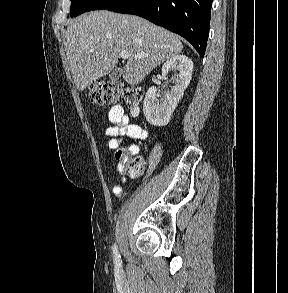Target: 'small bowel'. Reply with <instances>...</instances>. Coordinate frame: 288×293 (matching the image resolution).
<instances>
[{
  "mask_svg": "<svg viewBox=\"0 0 288 293\" xmlns=\"http://www.w3.org/2000/svg\"><path fill=\"white\" fill-rule=\"evenodd\" d=\"M109 121L112 126L105 130V136L108 138L107 147L110 150H114L118 147L119 143L128 139L144 140L147 137V132L139 125L130 121L129 116L125 113L121 105H115L110 108L108 113ZM119 137V138H118ZM139 149L137 145H130L128 147V155L133 156L138 153ZM118 172L122 175L124 172L123 162L118 165ZM122 182H125L123 177ZM122 191L121 184L114 186L113 192L115 195L120 196Z\"/></svg>",
  "mask_w": 288,
  "mask_h": 293,
  "instance_id": "c3829d8e",
  "label": "small bowel"
}]
</instances>
